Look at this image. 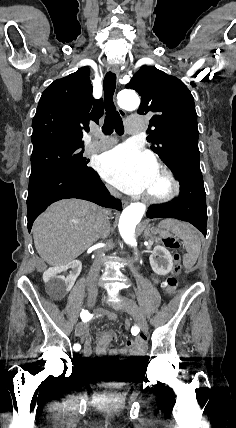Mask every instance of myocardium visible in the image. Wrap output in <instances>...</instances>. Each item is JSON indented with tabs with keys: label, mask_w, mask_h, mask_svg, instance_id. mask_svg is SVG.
I'll return each instance as SVG.
<instances>
[{
	"label": "myocardium",
	"mask_w": 236,
	"mask_h": 428,
	"mask_svg": "<svg viewBox=\"0 0 236 428\" xmlns=\"http://www.w3.org/2000/svg\"><path fill=\"white\" fill-rule=\"evenodd\" d=\"M155 171L161 172L169 184V189L162 195H154L150 193L143 194V200L154 205H166L174 201L182 192V183L176 177L173 170L165 163H157Z\"/></svg>",
	"instance_id": "obj_1"
}]
</instances>
